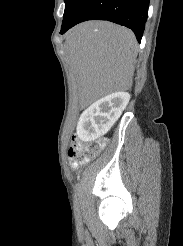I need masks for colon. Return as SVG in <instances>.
<instances>
[{"label": "colon", "mask_w": 183, "mask_h": 246, "mask_svg": "<svg viewBox=\"0 0 183 246\" xmlns=\"http://www.w3.org/2000/svg\"><path fill=\"white\" fill-rule=\"evenodd\" d=\"M104 141H97L87 145L72 144L69 148V154L77 162H87L91 158L97 156L104 148Z\"/></svg>", "instance_id": "5ec220e1"}]
</instances>
